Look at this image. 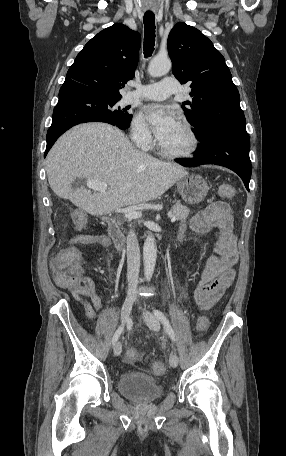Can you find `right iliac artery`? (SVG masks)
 <instances>
[{"mask_svg":"<svg viewBox=\"0 0 286 456\" xmlns=\"http://www.w3.org/2000/svg\"><path fill=\"white\" fill-rule=\"evenodd\" d=\"M123 330H124V325H121V326L116 330V332H115L114 335H113V339H112V344H113V345L116 344V342L118 341V339H119L121 333L123 332Z\"/></svg>","mask_w":286,"mask_h":456,"instance_id":"right-iliac-artery-1","label":"right iliac artery"}]
</instances>
